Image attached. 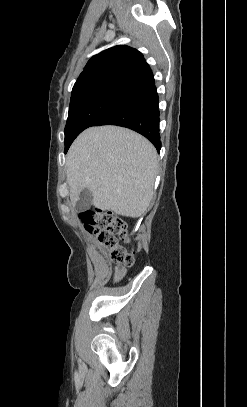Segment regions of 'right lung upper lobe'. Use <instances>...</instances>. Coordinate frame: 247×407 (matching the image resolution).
<instances>
[{"label":"right lung upper lobe","mask_w":247,"mask_h":407,"mask_svg":"<svg viewBox=\"0 0 247 407\" xmlns=\"http://www.w3.org/2000/svg\"><path fill=\"white\" fill-rule=\"evenodd\" d=\"M152 83L153 74L143 55L134 48L119 45L88 61L73 87L70 102L106 88L125 87L138 91Z\"/></svg>","instance_id":"obj_1"}]
</instances>
